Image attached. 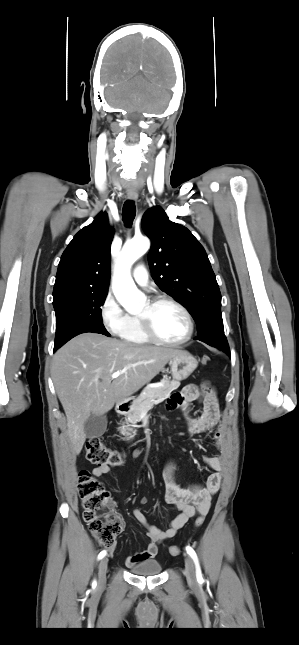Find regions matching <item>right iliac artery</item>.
<instances>
[{
    "instance_id": "82829eb1",
    "label": "right iliac artery",
    "mask_w": 299,
    "mask_h": 645,
    "mask_svg": "<svg viewBox=\"0 0 299 645\" xmlns=\"http://www.w3.org/2000/svg\"><path fill=\"white\" fill-rule=\"evenodd\" d=\"M105 555H106V551L105 550L101 551L98 555V559H102ZM93 584L95 585L96 582L94 581Z\"/></svg>"
}]
</instances>
